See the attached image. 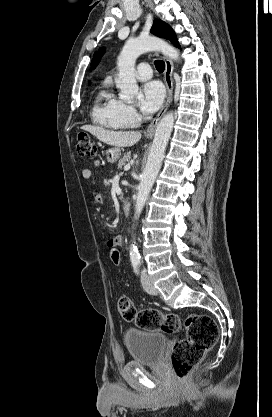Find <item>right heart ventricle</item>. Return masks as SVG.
<instances>
[{
	"mask_svg": "<svg viewBox=\"0 0 272 417\" xmlns=\"http://www.w3.org/2000/svg\"><path fill=\"white\" fill-rule=\"evenodd\" d=\"M94 123L111 130L126 129L130 125L120 114V102L115 99L108 86L98 92L92 108Z\"/></svg>",
	"mask_w": 272,
	"mask_h": 417,
	"instance_id": "e07e8e85",
	"label": "right heart ventricle"
}]
</instances>
